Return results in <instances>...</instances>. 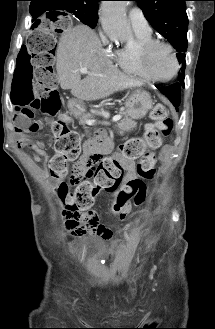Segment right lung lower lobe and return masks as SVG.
Here are the masks:
<instances>
[{
  "label": "right lung lower lobe",
  "mask_w": 215,
  "mask_h": 329,
  "mask_svg": "<svg viewBox=\"0 0 215 329\" xmlns=\"http://www.w3.org/2000/svg\"><path fill=\"white\" fill-rule=\"evenodd\" d=\"M38 9V5L36 4H31L30 5V13H33L34 11H36Z\"/></svg>",
  "instance_id": "98d812e1"
}]
</instances>
